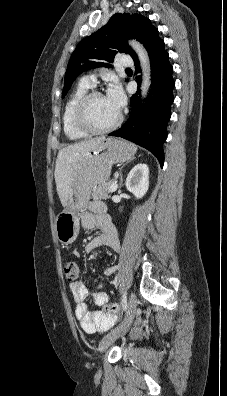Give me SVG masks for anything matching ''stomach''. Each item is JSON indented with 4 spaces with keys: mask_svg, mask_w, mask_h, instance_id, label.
Listing matches in <instances>:
<instances>
[{
    "mask_svg": "<svg viewBox=\"0 0 227 396\" xmlns=\"http://www.w3.org/2000/svg\"><path fill=\"white\" fill-rule=\"evenodd\" d=\"M135 152L133 144L107 138L75 165L66 208L55 220L59 242L68 245L76 240L79 234L77 212L87 206L93 188L108 181L114 164L128 161Z\"/></svg>",
    "mask_w": 227,
    "mask_h": 396,
    "instance_id": "0dacf381",
    "label": "stomach"
}]
</instances>
